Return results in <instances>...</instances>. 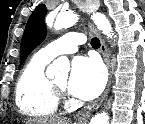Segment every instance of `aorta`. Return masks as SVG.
<instances>
[{
    "label": "aorta",
    "mask_w": 145,
    "mask_h": 124,
    "mask_svg": "<svg viewBox=\"0 0 145 124\" xmlns=\"http://www.w3.org/2000/svg\"><path fill=\"white\" fill-rule=\"evenodd\" d=\"M77 15L73 13H60L55 21L54 28L55 30H60L64 27H67L75 22ZM92 19L96 24L97 28L102 31L103 34L108 37H112L113 31L109 20L105 15L101 13H94ZM70 69V63L67 57H59L56 59L52 65L47 68L46 75L49 78H53L58 72L68 73ZM90 124H109V116L107 113L103 112L101 114L95 115Z\"/></svg>",
    "instance_id": "obj_1"
}]
</instances>
